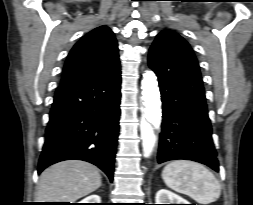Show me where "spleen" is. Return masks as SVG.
Masks as SVG:
<instances>
[{"label": "spleen", "mask_w": 253, "mask_h": 205, "mask_svg": "<svg viewBox=\"0 0 253 205\" xmlns=\"http://www.w3.org/2000/svg\"><path fill=\"white\" fill-rule=\"evenodd\" d=\"M165 184L193 198L199 204H210L221 194V187L213 173L202 164L187 160L168 163L163 171Z\"/></svg>", "instance_id": "1"}]
</instances>
